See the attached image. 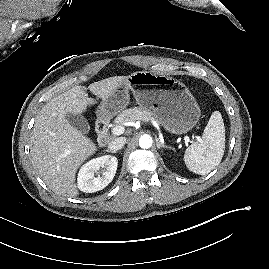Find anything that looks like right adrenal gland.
<instances>
[{
	"label": "right adrenal gland",
	"instance_id": "obj_1",
	"mask_svg": "<svg viewBox=\"0 0 269 269\" xmlns=\"http://www.w3.org/2000/svg\"><path fill=\"white\" fill-rule=\"evenodd\" d=\"M107 152H109V153H117V151H113V150H107Z\"/></svg>",
	"mask_w": 269,
	"mask_h": 269
}]
</instances>
